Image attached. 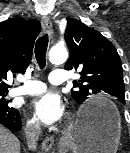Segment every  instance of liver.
Segmentation results:
<instances>
[{"label":"liver","instance_id":"liver-1","mask_svg":"<svg viewBox=\"0 0 130 153\" xmlns=\"http://www.w3.org/2000/svg\"><path fill=\"white\" fill-rule=\"evenodd\" d=\"M0 153H20L19 140L2 125H0Z\"/></svg>","mask_w":130,"mask_h":153}]
</instances>
